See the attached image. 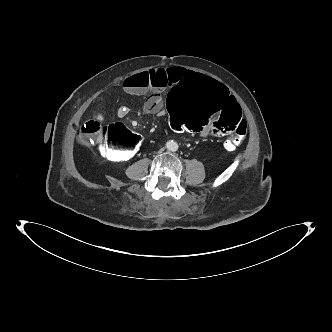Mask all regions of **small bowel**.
Listing matches in <instances>:
<instances>
[{"instance_id":"obj_1","label":"small bowel","mask_w":332,"mask_h":332,"mask_svg":"<svg viewBox=\"0 0 332 332\" xmlns=\"http://www.w3.org/2000/svg\"><path fill=\"white\" fill-rule=\"evenodd\" d=\"M185 75L186 70L180 67L153 68L124 79L123 90L129 95H145L149 93L150 96L144 103V111L146 114L164 115L166 111L163 108L161 94L166 91H172L178 81ZM129 111L128 107H121L118 109L117 115L119 118H123Z\"/></svg>"}]
</instances>
